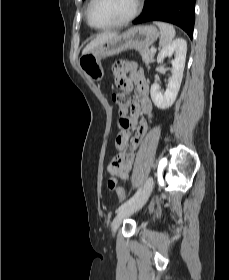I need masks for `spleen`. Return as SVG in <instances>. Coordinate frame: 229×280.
<instances>
[{"label": "spleen", "mask_w": 229, "mask_h": 280, "mask_svg": "<svg viewBox=\"0 0 229 280\" xmlns=\"http://www.w3.org/2000/svg\"><path fill=\"white\" fill-rule=\"evenodd\" d=\"M154 23L159 27L161 31L159 45L164 48L168 46L172 42L173 38L175 37V29L172 25L168 23L158 22V21Z\"/></svg>", "instance_id": "spleen-1"}]
</instances>
